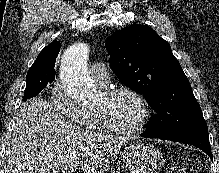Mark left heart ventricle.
Returning <instances> with one entry per match:
<instances>
[{
	"label": "left heart ventricle",
	"instance_id": "1",
	"mask_svg": "<svg viewBox=\"0 0 219 173\" xmlns=\"http://www.w3.org/2000/svg\"><path fill=\"white\" fill-rule=\"evenodd\" d=\"M96 109L103 110L114 126L125 130L138 124L142 112L137 99L127 93L118 94L110 99L103 93Z\"/></svg>",
	"mask_w": 219,
	"mask_h": 173
}]
</instances>
